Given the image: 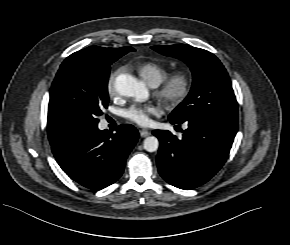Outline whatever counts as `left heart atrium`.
<instances>
[{
	"label": "left heart atrium",
	"mask_w": 290,
	"mask_h": 245,
	"mask_svg": "<svg viewBox=\"0 0 290 245\" xmlns=\"http://www.w3.org/2000/svg\"><path fill=\"white\" fill-rule=\"evenodd\" d=\"M160 113V107L153 104L133 105L125 111V117L139 125L147 126L152 122V116Z\"/></svg>",
	"instance_id": "1"
}]
</instances>
